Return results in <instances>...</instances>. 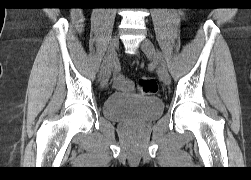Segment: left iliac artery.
<instances>
[{"label": "left iliac artery", "instance_id": "1", "mask_svg": "<svg viewBox=\"0 0 251 180\" xmlns=\"http://www.w3.org/2000/svg\"><path fill=\"white\" fill-rule=\"evenodd\" d=\"M158 54H159V56L161 57V53L158 51ZM162 61H163V65H164V60L162 59Z\"/></svg>", "mask_w": 251, "mask_h": 180}]
</instances>
